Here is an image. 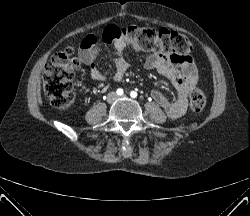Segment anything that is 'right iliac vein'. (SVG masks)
<instances>
[{
	"label": "right iliac vein",
	"mask_w": 250,
	"mask_h": 216,
	"mask_svg": "<svg viewBox=\"0 0 250 216\" xmlns=\"http://www.w3.org/2000/svg\"><path fill=\"white\" fill-rule=\"evenodd\" d=\"M116 98H117V96H116L115 93H110L108 95V97H107V100H108L109 103H112V102H114L116 100Z\"/></svg>",
	"instance_id": "obj_1"
}]
</instances>
